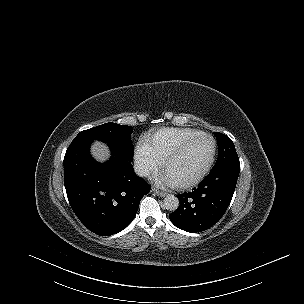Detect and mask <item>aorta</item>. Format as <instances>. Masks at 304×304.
<instances>
[{
	"label": "aorta",
	"instance_id": "1",
	"mask_svg": "<svg viewBox=\"0 0 304 304\" xmlns=\"http://www.w3.org/2000/svg\"><path fill=\"white\" fill-rule=\"evenodd\" d=\"M179 199L174 195H167L163 200V206L169 211H175L179 207Z\"/></svg>",
	"mask_w": 304,
	"mask_h": 304
}]
</instances>
